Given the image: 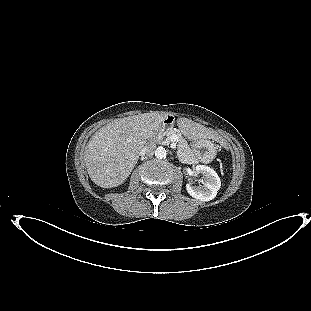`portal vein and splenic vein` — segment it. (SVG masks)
<instances>
[{"label": "portal vein and splenic vein", "mask_w": 311, "mask_h": 311, "mask_svg": "<svg viewBox=\"0 0 311 311\" xmlns=\"http://www.w3.org/2000/svg\"><path fill=\"white\" fill-rule=\"evenodd\" d=\"M170 140H171V141H178V137H177L176 135H172V136L170 137Z\"/></svg>", "instance_id": "obj_1"}]
</instances>
